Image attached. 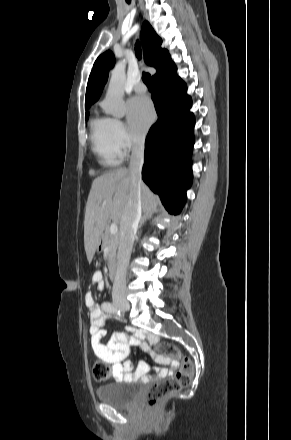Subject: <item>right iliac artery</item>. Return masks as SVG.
<instances>
[{
    "label": "right iliac artery",
    "instance_id": "1",
    "mask_svg": "<svg viewBox=\"0 0 291 440\" xmlns=\"http://www.w3.org/2000/svg\"><path fill=\"white\" fill-rule=\"evenodd\" d=\"M108 311H109L110 313H113V314H116V315H118V316H121L120 310H118L116 307H114V306L111 305V304H109Z\"/></svg>",
    "mask_w": 291,
    "mask_h": 440
}]
</instances>
